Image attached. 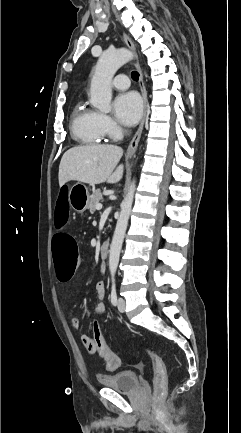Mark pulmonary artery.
I'll list each match as a JSON object with an SVG mask.
<instances>
[{
  "mask_svg": "<svg viewBox=\"0 0 241 433\" xmlns=\"http://www.w3.org/2000/svg\"><path fill=\"white\" fill-rule=\"evenodd\" d=\"M130 82L126 75L120 74L113 80V86L118 90H125L129 87Z\"/></svg>",
  "mask_w": 241,
  "mask_h": 433,
  "instance_id": "obj_1",
  "label": "pulmonary artery"
}]
</instances>
